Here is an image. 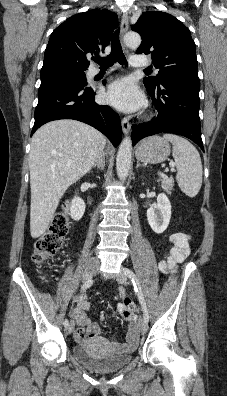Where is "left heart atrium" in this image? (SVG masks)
<instances>
[{
    "label": "left heart atrium",
    "mask_w": 227,
    "mask_h": 396,
    "mask_svg": "<svg viewBox=\"0 0 227 396\" xmlns=\"http://www.w3.org/2000/svg\"><path fill=\"white\" fill-rule=\"evenodd\" d=\"M105 100L125 112L135 111L144 104V96L137 85L128 78H122L110 84Z\"/></svg>",
    "instance_id": "39dd6f15"
}]
</instances>
